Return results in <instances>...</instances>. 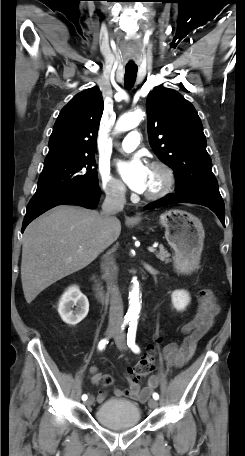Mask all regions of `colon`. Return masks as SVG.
I'll use <instances>...</instances> for the list:
<instances>
[{
    "mask_svg": "<svg viewBox=\"0 0 245 456\" xmlns=\"http://www.w3.org/2000/svg\"><path fill=\"white\" fill-rule=\"evenodd\" d=\"M160 340V337L157 335L155 338V343L148 347L147 354L130 369V373L133 376L134 380L138 381L139 379L146 377L154 370L156 347L159 344Z\"/></svg>",
    "mask_w": 245,
    "mask_h": 456,
    "instance_id": "colon-1",
    "label": "colon"
}]
</instances>
